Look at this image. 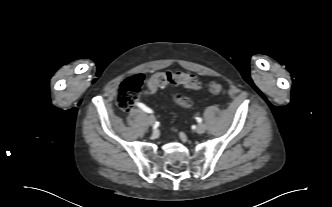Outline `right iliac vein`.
<instances>
[{
    "instance_id": "1",
    "label": "right iliac vein",
    "mask_w": 332,
    "mask_h": 207,
    "mask_svg": "<svg viewBox=\"0 0 332 207\" xmlns=\"http://www.w3.org/2000/svg\"><path fill=\"white\" fill-rule=\"evenodd\" d=\"M156 122V119L153 115L148 116V123L149 125L153 126Z\"/></svg>"
}]
</instances>
